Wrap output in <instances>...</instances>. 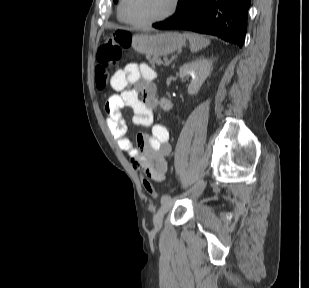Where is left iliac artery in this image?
Returning a JSON list of instances; mask_svg holds the SVG:
<instances>
[{"label": "left iliac artery", "mask_w": 309, "mask_h": 288, "mask_svg": "<svg viewBox=\"0 0 309 288\" xmlns=\"http://www.w3.org/2000/svg\"><path fill=\"white\" fill-rule=\"evenodd\" d=\"M188 192H189V191H188ZM188 192H185L183 195H181V197H184V196H186V195H189ZM165 200H171V197H170L169 195H164V196H162L161 202H163V201H165Z\"/></svg>", "instance_id": "44dca946"}]
</instances>
